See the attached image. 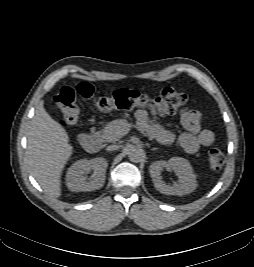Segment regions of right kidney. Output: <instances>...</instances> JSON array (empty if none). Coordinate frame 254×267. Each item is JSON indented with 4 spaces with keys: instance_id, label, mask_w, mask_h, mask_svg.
<instances>
[{
    "instance_id": "ca27d5eb",
    "label": "right kidney",
    "mask_w": 254,
    "mask_h": 267,
    "mask_svg": "<svg viewBox=\"0 0 254 267\" xmlns=\"http://www.w3.org/2000/svg\"><path fill=\"white\" fill-rule=\"evenodd\" d=\"M108 163L105 158L81 159L71 165L66 174L67 187L71 191H93L103 187ZM93 171L90 179L85 174Z\"/></svg>"
}]
</instances>
